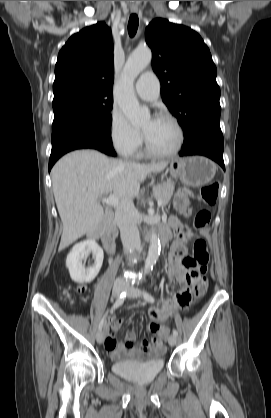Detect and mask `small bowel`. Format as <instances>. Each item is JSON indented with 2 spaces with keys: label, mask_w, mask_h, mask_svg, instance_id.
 Listing matches in <instances>:
<instances>
[{
  "label": "small bowel",
  "mask_w": 271,
  "mask_h": 418,
  "mask_svg": "<svg viewBox=\"0 0 271 418\" xmlns=\"http://www.w3.org/2000/svg\"><path fill=\"white\" fill-rule=\"evenodd\" d=\"M169 226L177 235V241L174 243L170 253L168 272L170 277L177 283L183 285L182 288L175 291L172 296V302H167L162 308H153L150 311V318L153 324L158 328L154 332L158 338H155L150 344L143 341L139 346L136 345V334L128 332L125 336V342H118L115 334H106L104 337L105 349L112 359H118L123 356L132 358H145L153 355L162 354L165 347L160 338L165 337L167 330L161 323H163L172 313L174 306L180 309H186L191 302L190 285H194L195 278L193 273L188 272L182 265V261L186 256V250L183 246L184 234L180 221L176 217L169 219ZM85 287L81 286L80 291H84ZM188 299V303L183 300ZM123 319L112 318L111 328L113 332H117L123 325Z\"/></svg>",
  "instance_id": "obj_1"
}]
</instances>
